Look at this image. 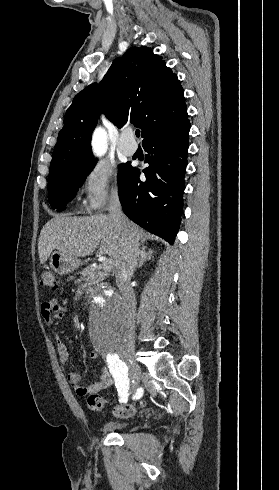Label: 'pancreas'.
<instances>
[{
	"instance_id": "pancreas-1",
	"label": "pancreas",
	"mask_w": 279,
	"mask_h": 490,
	"mask_svg": "<svg viewBox=\"0 0 279 490\" xmlns=\"http://www.w3.org/2000/svg\"><path fill=\"white\" fill-rule=\"evenodd\" d=\"M109 270H113V268H107V266H96V268H92V266H87L81 274L84 280L88 282V286H91V284H100V282H103L109 276Z\"/></svg>"
}]
</instances>
